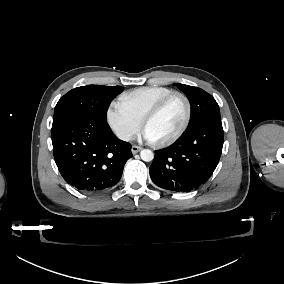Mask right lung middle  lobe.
<instances>
[{"label":"right lung middle lobe","instance_id":"1","mask_svg":"<svg viewBox=\"0 0 284 284\" xmlns=\"http://www.w3.org/2000/svg\"><path fill=\"white\" fill-rule=\"evenodd\" d=\"M121 86L87 85L70 90L55 106L52 128L76 116H91L106 122L111 101L122 92Z\"/></svg>","mask_w":284,"mask_h":284}]
</instances>
